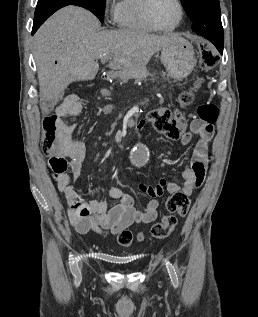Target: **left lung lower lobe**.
Here are the masks:
<instances>
[{
	"label": "left lung lower lobe",
	"mask_w": 258,
	"mask_h": 317,
	"mask_svg": "<svg viewBox=\"0 0 258 317\" xmlns=\"http://www.w3.org/2000/svg\"><path fill=\"white\" fill-rule=\"evenodd\" d=\"M193 31L212 42L218 51L223 54L224 35L222 28L203 26L201 28H195Z\"/></svg>",
	"instance_id": "left-lung-lower-lobe-1"
}]
</instances>
